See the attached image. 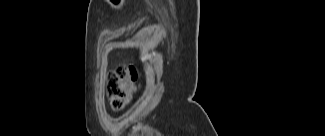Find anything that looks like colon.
<instances>
[{
  "instance_id": "obj_1",
  "label": "colon",
  "mask_w": 325,
  "mask_h": 136,
  "mask_svg": "<svg viewBox=\"0 0 325 136\" xmlns=\"http://www.w3.org/2000/svg\"><path fill=\"white\" fill-rule=\"evenodd\" d=\"M137 78L138 73L131 66H119L108 75L106 91L114 110L120 111L128 104Z\"/></svg>"
}]
</instances>
